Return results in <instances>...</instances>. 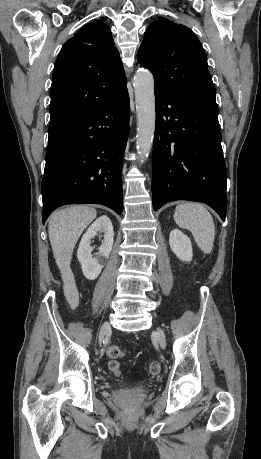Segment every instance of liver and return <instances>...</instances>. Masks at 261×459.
Listing matches in <instances>:
<instances>
[{"label":"liver","mask_w":261,"mask_h":459,"mask_svg":"<svg viewBox=\"0 0 261 459\" xmlns=\"http://www.w3.org/2000/svg\"><path fill=\"white\" fill-rule=\"evenodd\" d=\"M96 216L97 211L93 207L78 205L54 212L49 219V240L66 287L73 281L70 261L74 247Z\"/></svg>","instance_id":"6515ba94"}]
</instances>
